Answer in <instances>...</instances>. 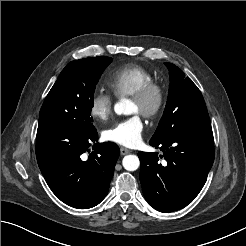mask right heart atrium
I'll use <instances>...</instances> for the list:
<instances>
[{
  "label": "right heart atrium",
  "mask_w": 246,
  "mask_h": 246,
  "mask_svg": "<svg viewBox=\"0 0 246 246\" xmlns=\"http://www.w3.org/2000/svg\"><path fill=\"white\" fill-rule=\"evenodd\" d=\"M90 115L98 121H107L113 112V98L105 92L95 93L90 100Z\"/></svg>",
  "instance_id": "1"
}]
</instances>
